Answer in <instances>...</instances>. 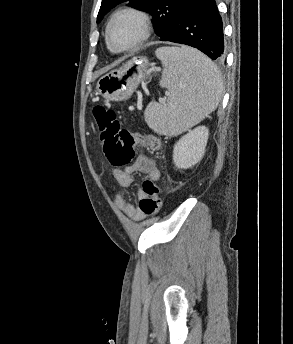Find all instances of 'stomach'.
Segmentation results:
<instances>
[{
  "mask_svg": "<svg viewBox=\"0 0 293 344\" xmlns=\"http://www.w3.org/2000/svg\"><path fill=\"white\" fill-rule=\"evenodd\" d=\"M156 71L146 58L135 57L121 68L102 76L96 88L107 100L122 101L129 99L140 82L148 79Z\"/></svg>",
  "mask_w": 293,
  "mask_h": 344,
  "instance_id": "1",
  "label": "stomach"
}]
</instances>
